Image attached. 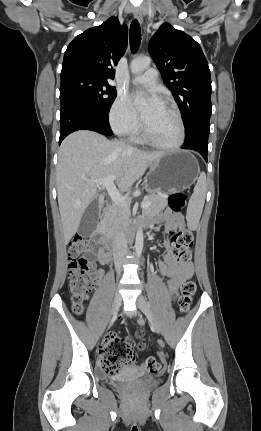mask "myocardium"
<instances>
[{
    "label": "myocardium",
    "mask_w": 261,
    "mask_h": 431,
    "mask_svg": "<svg viewBox=\"0 0 261 431\" xmlns=\"http://www.w3.org/2000/svg\"><path fill=\"white\" fill-rule=\"evenodd\" d=\"M163 105L166 106L170 111L173 112V114L175 115L176 120L178 122L179 133H178V138H177L176 142L171 144V145H163V144L158 143L152 137V135L149 133V131L147 130L145 125H143V127H142L143 136H144V139L153 147H155L159 150H162V151H166V152H175L182 147L184 140H185L184 122H183L182 115H181L180 111L174 105H172L169 102H163Z\"/></svg>",
    "instance_id": "myocardium-1"
}]
</instances>
